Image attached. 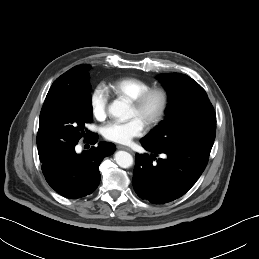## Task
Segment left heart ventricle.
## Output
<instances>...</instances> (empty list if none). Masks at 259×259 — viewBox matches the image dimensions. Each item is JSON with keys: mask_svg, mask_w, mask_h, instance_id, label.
Masks as SVG:
<instances>
[{"mask_svg": "<svg viewBox=\"0 0 259 259\" xmlns=\"http://www.w3.org/2000/svg\"><path fill=\"white\" fill-rule=\"evenodd\" d=\"M160 104V98L158 95H152L146 103L140 109H136L132 105L130 106V117H137L141 119L145 124L152 118L157 112Z\"/></svg>", "mask_w": 259, "mask_h": 259, "instance_id": "1", "label": "left heart ventricle"}]
</instances>
